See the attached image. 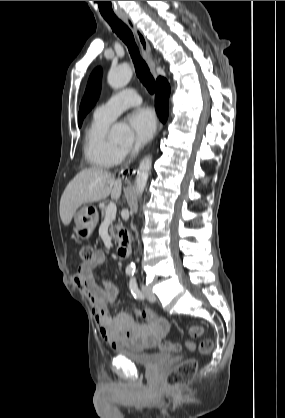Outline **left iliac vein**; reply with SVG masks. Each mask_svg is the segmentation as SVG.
I'll return each mask as SVG.
<instances>
[{
	"label": "left iliac vein",
	"mask_w": 285,
	"mask_h": 418,
	"mask_svg": "<svg viewBox=\"0 0 285 418\" xmlns=\"http://www.w3.org/2000/svg\"><path fill=\"white\" fill-rule=\"evenodd\" d=\"M141 290L142 293L144 294V296L149 300V301H155L156 297L154 295V293L152 292V290L150 288H148L145 285H141Z\"/></svg>",
	"instance_id": "4c4485c4"
}]
</instances>
